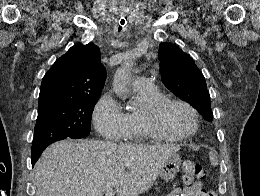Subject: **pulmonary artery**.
Returning a JSON list of instances; mask_svg holds the SVG:
<instances>
[{
  "label": "pulmonary artery",
  "mask_w": 260,
  "mask_h": 196,
  "mask_svg": "<svg viewBox=\"0 0 260 196\" xmlns=\"http://www.w3.org/2000/svg\"><path fill=\"white\" fill-rule=\"evenodd\" d=\"M147 83H148L147 79H138L137 83H134V85L137 86V87H141L140 84H147Z\"/></svg>",
  "instance_id": "1"
}]
</instances>
